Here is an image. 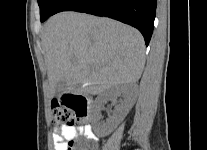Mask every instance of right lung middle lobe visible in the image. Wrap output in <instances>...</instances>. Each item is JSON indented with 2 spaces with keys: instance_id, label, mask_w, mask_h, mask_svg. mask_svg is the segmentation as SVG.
<instances>
[{
  "instance_id": "right-lung-middle-lobe-1",
  "label": "right lung middle lobe",
  "mask_w": 207,
  "mask_h": 150,
  "mask_svg": "<svg viewBox=\"0 0 207 150\" xmlns=\"http://www.w3.org/2000/svg\"><path fill=\"white\" fill-rule=\"evenodd\" d=\"M63 2V0H38L40 7V20L44 22L47 18L55 13L57 7Z\"/></svg>"
}]
</instances>
